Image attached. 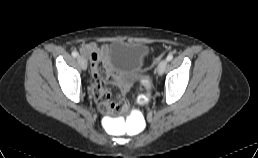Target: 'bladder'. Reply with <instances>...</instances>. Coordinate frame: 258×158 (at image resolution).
<instances>
[{
  "instance_id": "1",
  "label": "bladder",
  "mask_w": 258,
  "mask_h": 158,
  "mask_svg": "<svg viewBox=\"0 0 258 158\" xmlns=\"http://www.w3.org/2000/svg\"><path fill=\"white\" fill-rule=\"evenodd\" d=\"M148 53V46L142 42L116 41L110 44L106 58L120 72L122 82L130 85L143 76Z\"/></svg>"
}]
</instances>
